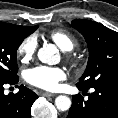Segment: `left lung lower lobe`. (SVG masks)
I'll return each mask as SVG.
<instances>
[{
	"instance_id": "0a47b994",
	"label": "left lung lower lobe",
	"mask_w": 118,
	"mask_h": 118,
	"mask_svg": "<svg viewBox=\"0 0 118 118\" xmlns=\"http://www.w3.org/2000/svg\"><path fill=\"white\" fill-rule=\"evenodd\" d=\"M93 90L87 100L80 94L73 95L67 118H118V84L96 86Z\"/></svg>"
}]
</instances>
